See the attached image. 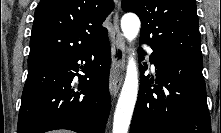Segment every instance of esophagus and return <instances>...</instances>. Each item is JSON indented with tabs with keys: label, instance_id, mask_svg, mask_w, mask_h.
Masks as SVG:
<instances>
[{
	"label": "esophagus",
	"instance_id": "34e87169",
	"mask_svg": "<svg viewBox=\"0 0 221 133\" xmlns=\"http://www.w3.org/2000/svg\"><path fill=\"white\" fill-rule=\"evenodd\" d=\"M125 67V41L119 27V14L116 11L113 17L112 32V64L110 71L109 89L113 97L117 95L123 80Z\"/></svg>",
	"mask_w": 221,
	"mask_h": 133
}]
</instances>
